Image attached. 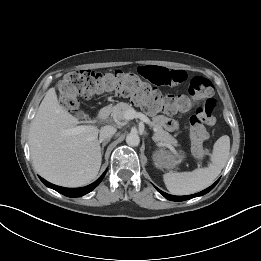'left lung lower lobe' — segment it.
Listing matches in <instances>:
<instances>
[{
    "label": "left lung lower lobe",
    "mask_w": 261,
    "mask_h": 261,
    "mask_svg": "<svg viewBox=\"0 0 261 261\" xmlns=\"http://www.w3.org/2000/svg\"><path fill=\"white\" fill-rule=\"evenodd\" d=\"M219 181V180H218ZM218 181H216L212 186H210L209 188L199 192V193H196V194H193V195H188V196H173V195H169L163 191H161L160 189H158L157 187H155L165 198L169 199V200H172V201H185V200H189V199H192L194 197H198V196H202L206 193H208L210 190H212L216 184L218 183Z\"/></svg>",
    "instance_id": "0a47b994"
}]
</instances>
